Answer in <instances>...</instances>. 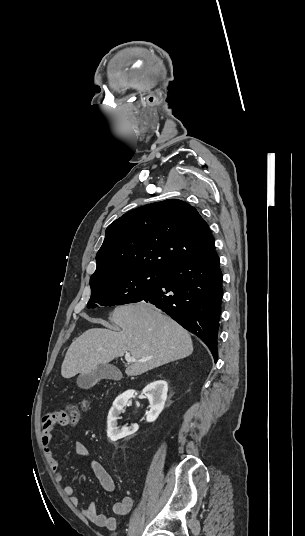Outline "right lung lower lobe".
Here are the masks:
<instances>
[{"label": "right lung lower lobe", "mask_w": 305, "mask_h": 536, "mask_svg": "<svg viewBox=\"0 0 305 536\" xmlns=\"http://www.w3.org/2000/svg\"><path fill=\"white\" fill-rule=\"evenodd\" d=\"M222 279L214 247L198 258L167 269L161 284L139 301L154 304L198 336L216 362Z\"/></svg>", "instance_id": "obj_1"}]
</instances>
